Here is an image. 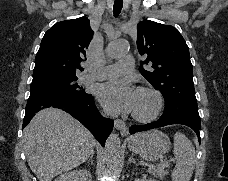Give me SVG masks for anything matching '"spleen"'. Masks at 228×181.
<instances>
[{"instance_id":"obj_1","label":"spleen","mask_w":228,"mask_h":181,"mask_svg":"<svg viewBox=\"0 0 228 181\" xmlns=\"http://www.w3.org/2000/svg\"><path fill=\"white\" fill-rule=\"evenodd\" d=\"M173 147L176 163L171 173L172 181H190L195 165L194 145L183 133H175Z\"/></svg>"}]
</instances>
